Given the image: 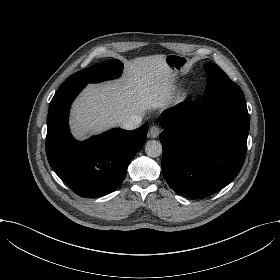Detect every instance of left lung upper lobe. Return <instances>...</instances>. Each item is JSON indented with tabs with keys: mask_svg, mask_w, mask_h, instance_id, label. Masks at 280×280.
Masks as SVG:
<instances>
[{
	"mask_svg": "<svg viewBox=\"0 0 280 280\" xmlns=\"http://www.w3.org/2000/svg\"><path fill=\"white\" fill-rule=\"evenodd\" d=\"M204 69L207 73V85L204 97L237 86V84L231 81L227 74L216 64L211 62L206 63Z\"/></svg>",
	"mask_w": 280,
	"mask_h": 280,
	"instance_id": "obj_1",
	"label": "left lung upper lobe"
}]
</instances>
